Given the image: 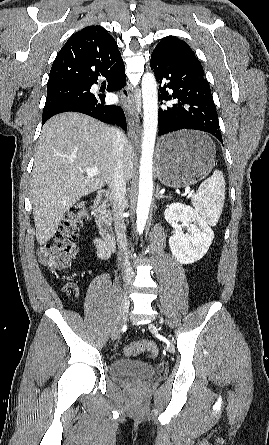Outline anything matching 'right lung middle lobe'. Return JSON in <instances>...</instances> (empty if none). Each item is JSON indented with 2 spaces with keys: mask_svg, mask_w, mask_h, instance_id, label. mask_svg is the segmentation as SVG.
Listing matches in <instances>:
<instances>
[{
  "mask_svg": "<svg viewBox=\"0 0 269 445\" xmlns=\"http://www.w3.org/2000/svg\"><path fill=\"white\" fill-rule=\"evenodd\" d=\"M89 90L90 86L87 83L47 88L42 120L50 116L58 107L87 96L90 94Z\"/></svg>",
  "mask_w": 269,
  "mask_h": 445,
  "instance_id": "right-lung-middle-lobe-1",
  "label": "right lung middle lobe"
}]
</instances>
